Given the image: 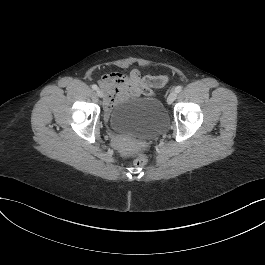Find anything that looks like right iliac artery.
<instances>
[{
  "label": "right iliac artery",
  "instance_id": "82829eb1",
  "mask_svg": "<svg viewBox=\"0 0 265 265\" xmlns=\"http://www.w3.org/2000/svg\"><path fill=\"white\" fill-rule=\"evenodd\" d=\"M92 89H93V90H97V89H98L97 85H96V84H93V85H92Z\"/></svg>",
  "mask_w": 265,
  "mask_h": 265
}]
</instances>
